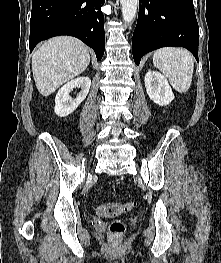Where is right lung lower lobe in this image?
I'll list each match as a JSON object with an SVG mask.
<instances>
[{
	"mask_svg": "<svg viewBox=\"0 0 221 263\" xmlns=\"http://www.w3.org/2000/svg\"><path fill=\"white\" fill-rule=\"evenodd\" d=\"M105 0H33L30 20V51L42 40L70 35L90 46L100 60L105 49Z\"/></svg>",
	"mask_w": 221,
	"mask_h": 263,
	"instance_id": "right-lung-lower-lobe-1",
	"label": "right lung lower lobe"
}]
</instances>
